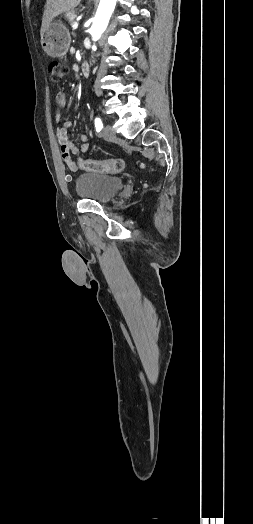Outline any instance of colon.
Wrapping results in <instances>:
<instances>
[{
  "instance_id": "5ec220e1",
  "label": "colon",
  "mask_w": 253,
  "mask_h": 524,
  "mask_svg": "<svg viewBox=\"0 0 253 524\" xmlns=\"http://www.w3.org/2000/svg\"><path fill=\"white\" fill-rule=\"evenodd\" d=\"M49 72L53 81H60L67 72L65 65L59 62L49 64ZM79 166L82 170L96 173H120L124 170L125 162L122 158H113L107 161L81 159Z\"/></svg>"
}]
</instances>
